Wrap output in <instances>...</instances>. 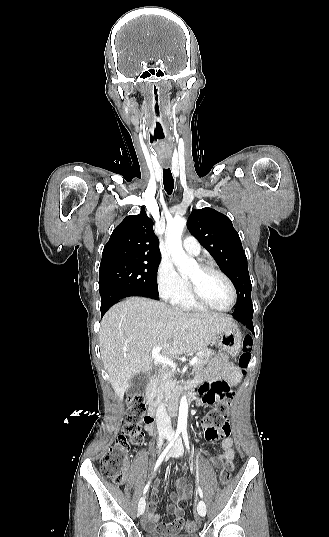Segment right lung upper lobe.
Segmentation results:
<instances>
[{"instance_id":"cb5924a9","label":"right lung upper lobe","mask_w":329,"mask_h":537,"mask_svg":"<svg viewBox=\"0 0 329 537\" xmlns=\"http://www.w3.org/2000/svg\"><path fill=\"white\" fill-rule=\"evenodd\" d=\"M152 226L144 207L140 214L125 217L104 246L100 265L160 259L159 240Z\"/></svg>"}]
</instances>
